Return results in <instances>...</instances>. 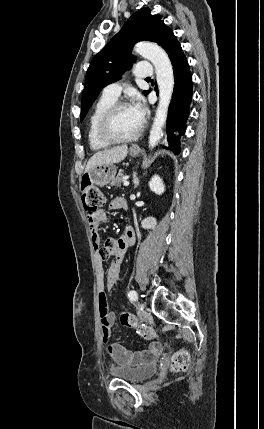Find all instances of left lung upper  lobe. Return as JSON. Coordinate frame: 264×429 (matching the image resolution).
I'll list each match as a JSON object with an SVG mask.
<instances>
[{"label":"left lung upper lobe","instance_id":"5c2ea615","mask_svg":"<svg viewBox=\"0 0 264 429\" xmlns=\"http://www.w3.org/2000/svg\"><path fill=\"white\" fill-rule=\"evenodd\" d=\"M171 31L161 15H152L149 8L134 13L121 30L92 59L86 73L82 95L80 120L82 121L92 103L106 85L120 79L135 58L132 47L141 40L153 41L161 45L165 35ZM149 91H144L148 94Z\"/></svg>","mask_w":264,"mask_h":429}]
</instances>
